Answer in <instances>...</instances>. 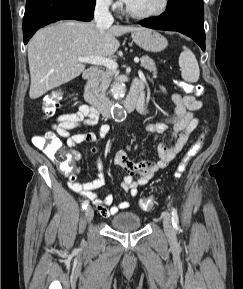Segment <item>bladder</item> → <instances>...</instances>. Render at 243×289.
<instances>
[{
  "mask_svg": "<svg viewBox=\"0 0 243 289\" xmlns=\"http://www.w3.org/2000/svg\"><path fill=\"white\" fill-rule=\"evenodd\" d=\"M110 225L118 231H132L141 227V218L134 212L118 213L110 220Z\"/></svg>",
  "mask_w": 243,
  "mask_h": 289,
  "instance_id": "bladder-1",
  "label": "bladder"
}]
</instances>
